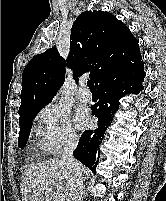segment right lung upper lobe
<instances>
[{"mask_svg":"<svg viewBox=\"0 0 166 201\" xmlns=\"http://www.w3.org/2000/svg\"><path fill=\"white\" fill-rule=\"evenodd\" d=\"M141 59L138 40L114 15L85 11L72 25L67 66L77 80L89 72L97 86L112 71L128 67ZM66 61L56 48L36 55L22 76L20 117L38 111L53 99L65 80Z\"/></svg>","mask_w":166,"mask_h":201,"instance_id":"right-lung-upper-lobe-1","label":"right lung upper lobe"}]
</instances>
